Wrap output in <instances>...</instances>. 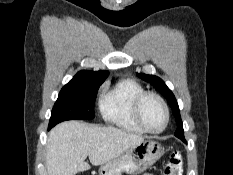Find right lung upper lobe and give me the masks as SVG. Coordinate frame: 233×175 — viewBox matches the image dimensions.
<instances>
[{
	"label": "right lung upper lobe",
	"mask_w": 233,
	"mask_h": 175,
	"mask_svg": "<svg viewBox=\"0 0 233 175\" xmlns=\"http://www.w3.org/2000/svg\"><path fill=\"white\" fill-rule=\"evenodd\" d=\"M108 71H79L69 83L90 81V80H105L108 76Z\"/></svg>",
	"instance_id": "1"
}]
</instances>
